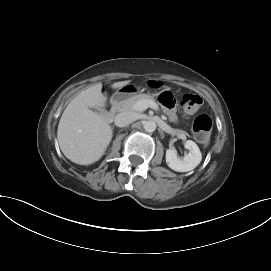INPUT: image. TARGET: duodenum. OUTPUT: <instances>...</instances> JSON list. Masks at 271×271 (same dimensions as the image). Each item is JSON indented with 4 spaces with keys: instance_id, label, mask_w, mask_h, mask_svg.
Here are the masks:
<instances>
[{
    "instance_id": "obj_1",
    "label": "duodenum",
    "mask_w": 271,
    "mask_h": 271,
    "mask_svg": "<svg viewBox=\"0 0 271 271\" xmlns=\"http://www.w3.org/2000/svg\"><path fill=\"white\" fill-rule=\"evenodd\" d=\"M123 99H124V95L121 93H118L113 96V98L111 100V107H110L109 111L107 112L108 119H112L115 116Z\"/></svg>"
}]
</instances>
